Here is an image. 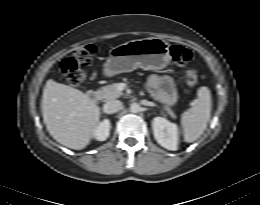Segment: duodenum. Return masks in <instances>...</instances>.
Listing matches in <instances>:
<instances>
[{
  "label": "duodenum",
  "instance_id": "obj_1",
  "mask_svg": "<svg viewBox=\"0 0 260 205\" xmlns=\"http://www.w3.org/2000/svg\"><path fill=\"white\" fill-rule=\"evenodd\" d=\"M86 96L89 101L96 102L99 99L100 95L96 90H89Z\"/></svg>",
  "mask_w": 260,
  "mask_h": 205
}]
</instances>
